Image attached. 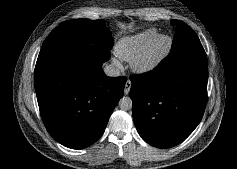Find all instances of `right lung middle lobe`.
Returning a JSON list of instances; mask_svg holds the SVG:
<instances>
[{
	"label": "right lung middle lobe",
	"mask_w": 237,
	"mask_h": 169,
	"mask_svg": "<svg viewBox=\"0 0 237 169\" xmlns=\"http://www.w3.org/2000/svg\"><path fill=\"white\" fill-rule=\"evenodd\" d=\"M68 43H94L110 50L113 39L104 20L74 19L57 26L43 46Z\"/></svg>",
	"instance_id": "dd1d6c3e"
}]
</instances>
